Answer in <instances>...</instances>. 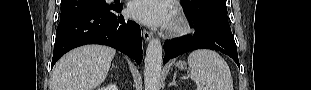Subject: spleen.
<instances>
[{"label":"spleen","mask_w":311,"mask_h":90,"mask_svg":"<svg viewBox=\"0 0 311 90\" xmlns=\"http://www.w3.org/2000/svg\"><path fill=\"white\" fill-rule=\"evenodd\" d=\"M188 64L197 90H233L230 68L217 52L195 50L188 56Z\"/></svg>","instance_id":"1"}]
</instances>
